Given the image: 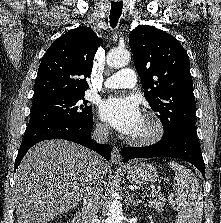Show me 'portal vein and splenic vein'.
I'll list each match as a JSON object with an SVG mask.
<instances>
[{"instance_id": "1", "label": "portal vein and splenic vein", "mask_w": 221, "mask_h": 223, "mask_svg": "<svg viewBox=\"0 0 221 223\" xmlns=\"http://www.w3.org/2000/svg\"><path fill=\"white\" fill-rule=\"evenodd\" d=\"M158 192H159V189L152 190L150 193H147L146 196H149V195L152 194V193H158Z\"/></svg>"}]
</instances>
